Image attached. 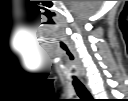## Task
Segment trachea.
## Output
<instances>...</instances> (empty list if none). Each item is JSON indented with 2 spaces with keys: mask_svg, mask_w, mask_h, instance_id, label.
I'll list each match as a JSON object with an SVG mask.
<instances>
[{
  "mask_svg": "<svg viewBox=\"0 0 128 101\" xmlns=\"http://www.w3.org/2000/svg\"><path fill=\"white\" fill-rule=\"evenodd\" d=\"M73 86L80 97V101H91L92 97L89 91L75 76H73Z\"/></svg>",
  "mask_w": 128,
  "mask_h": 101,
  "instance_id": "1",
  "label": "trachea"
}]
</instances>
